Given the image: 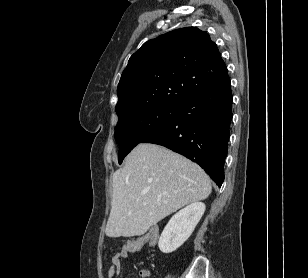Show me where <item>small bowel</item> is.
<instances>
[{
  "mask_svg": "<svg viewBox=\"0 0 308 278\" xmlns=\"http://www.w3.org/2000/svg\"><path fill=\"white\" fill-rule=\"evenodd\" d=\"M141 248H140V250H141ZM129 254L130 253L128 252V250H121L120 249L118 252H116V254L112 258V266L109 269L108 278H118V275H119L120 270H121V260L127 258ZM140 276L142 278H148L149 277V271L147 269L141 270Z\"/></svg>",
  "mask_w": 308,
  "mask_h": 278,
  "instance_id": "small-bowel-1",
  "label": "small bowel"
}]
</instances>
